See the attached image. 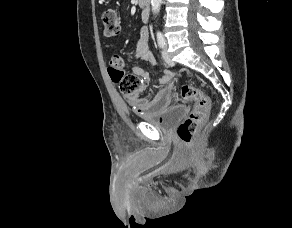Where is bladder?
<instances>
[{
  "label": "bladder",
  "mask_w": 292,
  "mask_h": 228,
  "mask_svg": "<svg viewBox=\"0 0 292 228\" xmlns=\"http://www.w3.org/2000/svg\"><path fill=\"white\" fill-rule=\"evenodd\" d=\"M188 109L184 105H178L154 116H144L142 120L161 129H170L187 114Z\"/></svg>",
  "instance_id": "31cf9c89"
}]
</instances>
